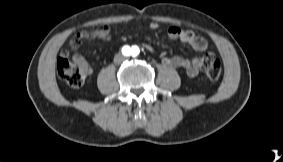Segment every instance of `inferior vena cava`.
I'll return each instance as SVG.
<instances>
[{"label":"inferior vena cava","mask_w":283,"mask_h":162,"mask_svg":"<svg viewBox=\"0 0 283 162\" xmlns=\"http://www.w3.org/2000/svg\"><path fill=\"white\" fill-rule=\"evenodd\" d=\"M125 60H126V57L124 55H122V54H117L114 57V63L115 64H120V63H122Z\"/></svg>","instance_id":"obj_1"}]
</instances>
